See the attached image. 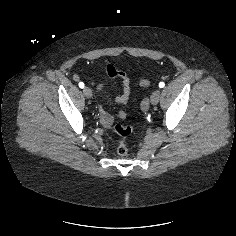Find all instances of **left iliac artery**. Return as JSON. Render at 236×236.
<instances>
[{
	"mask_svg": "<svg viewBox=\"0 0 236 236\" xmlns=\"http://www.w3.org/2000/svg\"><path fill=\"white\" fill-rule=\"evenodd\" d=\"M164 86H165V83H164V82H160V83H159V87H160V88H163Z\"/></svg>",
	"mask_w": 236,
	"mask_h": 236,
	"instance_id": "44dca946",
	"label": "left iliac artery"
}]
</instances>
